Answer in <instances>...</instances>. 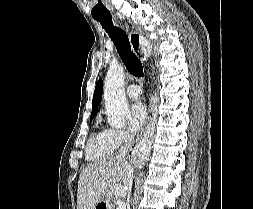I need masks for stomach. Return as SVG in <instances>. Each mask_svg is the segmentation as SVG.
Instances as JSON below:
<instances>
[{
    "mask_svg": "<svg viewBox=\"0 0 253 209\" xmlns=\"http://www.w3.org/2000/svg\"><path fill=\"white\" fill-rule=\"evenodd\" d=\"M109 191H104V196H100L94 209H113V202H111L112 198L109 196Z\"/></svg>",
    "mask_w": 253,
    "mask_h": 209,
    "instance_id": "0dacf381",
    "label": "stomach"
}]
</instances>
